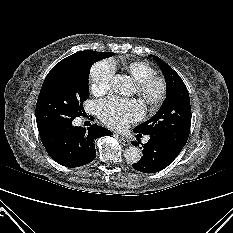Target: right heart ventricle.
Returning <instances> with one entry per match:
<instances>
[{
	"label": "right heart ventricle",
	"instance_id": "e07e8e85",
	"mask_svg": "<svg viewBox=\"0 0 233 233\" xmlns=\"http://www.w3.org/2000/svg\"><path fill=\"white\" fill-rule=\"evenodd\" d=\"M126 71L140 83L155 75V71L151 65L144 61H133L125 65Z\"/></svg>",
	"mask_w": 233,
	"mask_h": 233
}]
</instances>
